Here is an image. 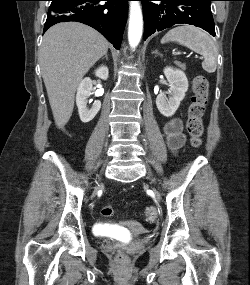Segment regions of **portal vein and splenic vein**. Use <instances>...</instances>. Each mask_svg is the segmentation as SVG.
Instances as JSON below:
<instances>
[{
    "label": "portal vein and splenic vein",
    "mask_w": 250,
    "mask_h": 285,
    "mask_svg": "<svg viewBox=\"0 0 250 285\" xmlns=\"http://www.w3.org/2000/svg\"><path fill=\"white\" fill-rule=\"evenodd\" d=\"M195 58H199L197 55H195Z\"/></svg>",
    "instance_id": "1"
}]
</instances>
